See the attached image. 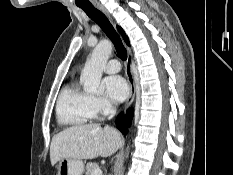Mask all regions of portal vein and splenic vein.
<instances>
[{"label": "portal vein and splenic vein", "instance_id": "18ae733b", "mask_svg": "<svg viewBox=\"0 0 233 175\" xmlns=\"http://www.w3.org/2000/svg\"><path fill=\"white\" fill-rule=\"evenodd\" d=\"M93 175H102V170L101 169H95L93 172Z\"/></svg>", "mask_w": 233, "mask_h": 175}]
</instances>
